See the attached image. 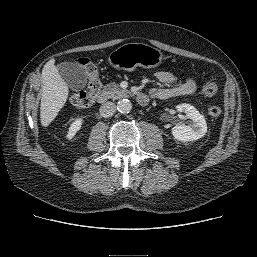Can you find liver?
<instances>
[{"label": "liver", "mask_w": 257, "mask_h": 257, "mask_svg": "<svg viewBox=\"0 0 257 257\" xmlns=\"http://www.w3.org/2000/svg\"><path fill=\"white\" fill-rule=\"evenodd\" d=\"M54 62V60L48 61L42 71L40 120L44 127L56 118L69 95L68 85L59 74Z\"/></svg>", "instance_id": "6515ba94"}]
</instances>
